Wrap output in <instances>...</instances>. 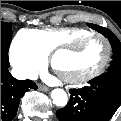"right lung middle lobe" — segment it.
<instances>
[{"label":"right lung middle lobe","instance_id":"1","mask_svg":"<svg viewBox=\"0 0 121 121\" xmlns=\"http://www.w3.org/2000/svg\"><path fill=\"white\" fill-rule=\"evenodd\" d=\"M11 24L1 22V52H8L11 42Z\"/></svg>","mask_w":121,"mask_h":121}]
</instances>
